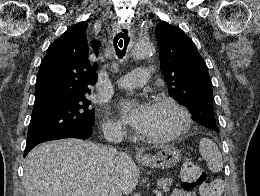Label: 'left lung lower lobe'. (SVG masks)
Listing matches in <instances>:
<instances>
[{"instance_id":"1","label":"left lung lower lobe","mask_w":260,"mask_h":196,"mask_svg":"<svg viewBox=\"0 0 260 196\" xmlns=\"http://www.w3.org/2000/svg\"><path fill=\"white\" fill-rule=\"evenodd\" d=\"M193 119L203 126H209L215 122L213 107L203 106L192 111Z\"/></svg>"}]
</instances>
